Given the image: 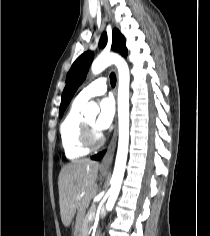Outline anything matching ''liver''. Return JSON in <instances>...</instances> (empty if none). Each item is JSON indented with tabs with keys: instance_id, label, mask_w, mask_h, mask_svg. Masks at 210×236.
Instances as JSON below:
<instances>
[{
	"instance_id": "6515ba94",
	"label": "liver",
	"mask_w": 210,
	"mask_h": 236,
	"mask_svg": "<svg viewBox=\"0 0 210 236\" xmlns=\"http://www.w3.org/2000/svg\"><path fill=\"white\" fill-rule=\"evenodd\" d=\"M99 164L82 159L64 166L59 174V205L61 220L69 227L76 214L75 231H78L91 199L97 193ZM82 195L80 199L77 196Z\"/></svg>"
}]
</instances>
